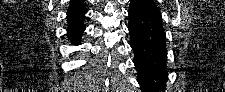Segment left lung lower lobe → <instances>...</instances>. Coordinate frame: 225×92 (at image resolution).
<instances>
[{"label":"left lung lower lobe","instance_id":"0a47b994","mask_svg":"<svg viewBox=\"0 0 225 92\" xmlns=\"http://www.w3.org/2000/svg\"><path fill=\"white\" fill-rule=\"evenodd\" d=\"M128 15L137 81L143 92L158 91L168 78L166 34L160 10L152 0H130Z\"/></svg>","mask_w":225,"mask_h":92}]
</instances>
